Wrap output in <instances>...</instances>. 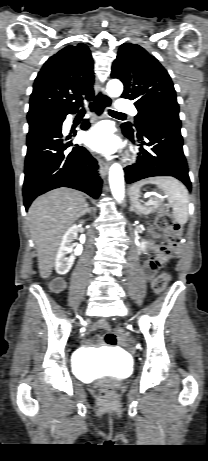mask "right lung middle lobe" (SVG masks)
Wrapping results in <instances>:
<instances>
[{"label": "right lung middle lobe", "mask_w": 208, "mask_h": 461, "mask_svg": "<svg viewBox=\"0 0 208 461\" xmlns=\"http://www.w3.org/2000/svg\"><path fill=\"white\" fill-rule=\"evenodd\" d=\"M58 119H48V118H28V123H29V131H33L34 129L49 123L56 121Z\"/></svg>", "instance_id": "right-lung-middle-lobe-1"}]
</instances>
